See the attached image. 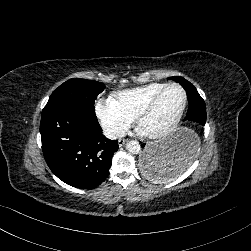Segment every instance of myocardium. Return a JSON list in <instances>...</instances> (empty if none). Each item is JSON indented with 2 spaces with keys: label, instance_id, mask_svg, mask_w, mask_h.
<instances>
[{
  "label": "myocardium",
  "instance_id": "f54148a6",
  "mask_svg": "<svg viewBox=\"0 0 251 251\" xmlns=\"http://www.w3.org/2000/svg\"><path fill=\"white\" fill-rule=\"evenodd\" d=\"M169 88H177L179 90H181L183 93H184V96H185V101H184V105H183V108H182V111L179 115V117L177 118V120L172 123L171 125H168L158 131H156L155 133H153V136L154 137H158V138H161V137H165L171 133H173L175 130H177L180 125L182 124L184 118H185V115H186V112H187V109H188V106H189V93L187 91V89L178 84V83H168L166 84L163 88H161L137 113V118H138V121L141 122V117L142 115L146 114V113H149L151 112L154 107L156 106V104L158 103L159 99L161 98V96L163 95V93L168 90Z\"/></svg>",
  "mask_w": 251,
  "mask_h": 251
}]
</instances>
